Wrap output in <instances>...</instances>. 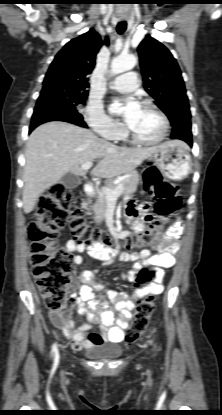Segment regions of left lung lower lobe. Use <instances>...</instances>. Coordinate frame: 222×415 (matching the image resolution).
I'll list each match as a JSON object with an SVG mask.
<instances>
[{
  "label": "left lung lower lobe",
  "instance_id": "obj_1",
  "mask_svg": "<svg viewBox=\"0 0 222 415\" xmlns=\"http://www.w3.org/2000/svg\"><path fill=\"white\" fill-rule=\"evenodd\" d=\"M172 139H180L192 146L191 124H183L172 130Z\"/></svg>",
  "mask_w": 222,
  "mask_h": 415
}]
</instances>
